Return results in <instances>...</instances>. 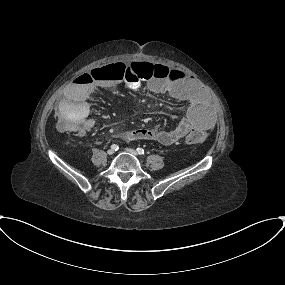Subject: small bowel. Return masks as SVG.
I'll list each match as a JSON object with an SVG mask.
<instances>
[{"label":"small bowel","instance_id":"c3829d8e","mask_svg":"<svg viewBox=\"0 0 285 285\" xmlns=\"http://www.w3.org/2000/svg\"><path fill=\"white\" fill-rule=\"evenodd\" d=\"M120 75L117 71L108 72L107 68L94 69L104 73L102 79H96L90 84H82L76 79L66 89V96L57 105L56 113L59 117L67 116L71 119L78 118L80 135L91 131L95 126L93 119L86 118L90 110L88 99L97 87L113 88L125 81L129 88L137 90L141 82L126 66L123 65ZM154 93H168L174 100L184 102L186 115L178 124L170 129H138L123 132L117 139L131 142L137 140H153L168 146L184 138L192 130L208 131L213 126L212 112L208 107L205 93L197 82L189 76L175 81L151 80L146 84Z\"/></svg>","mask_w":285,"mask_h":285}]
</instances>
